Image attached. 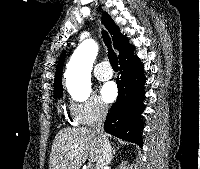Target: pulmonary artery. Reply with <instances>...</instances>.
<instances>
[{
	"label": "pulmonary artery",
	"instance_id": "pulmonary-artery-1",
	"mask_svg": "<svg viewBox=\"0 0 200 169\" xmlns=\"http://www.w3.org/2000/svg\"><path fill=\"white\" fill-rule=\"evenodd\" d=\"M108 63L101 62L99 63L94 70V75L97 79L101 81L109 80L112 78L113 73L111 70L107 69Z\"/></svg>",
	"mask_w": 200,
	"mask_h": 169
}]
</instances>
